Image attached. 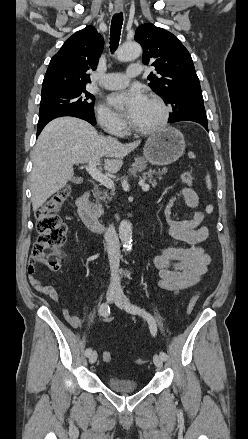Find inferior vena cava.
<instances>
[{"instance_id":"inferior-vena-cava-1","label":"inferior vena cava","mask_w":248,"mask_h":439,"mask_svg":"<svg viewBox=\"0 0 248 439\" xmlns=\"http://www.w3.org/2000/svg\"><path fill=\"white\" fill-rule=\"evenodd\" d=\"M104 238L107 245L108 259L111 270V286H120L118 269L120 263V244L117 233L113 225H109Z\"/></svg>"}]
</instances>
